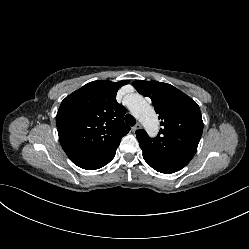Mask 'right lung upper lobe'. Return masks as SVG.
Returning a JSON list of instances; mask_svg holds the SVG:
<instances>
[{"instance_id": "right-lung-upper-lobe-1", "label": "right lung upper lobe", "mask_w": 249, "mask_h": 249, "mask_svg": "<svg viewBox=\"0 0 249 249\" xmlns=\"http://www.w3.org/2000/svg\"><path fill=\"white\" fill-rule=\"evenodd\" d=\"M126 84L127 80L93 81L62 101L56 125L70 159L99 155L119 146L130 130L124 122L126 108L116 101L119 87Z\"/></svg>"}]
</instances>
